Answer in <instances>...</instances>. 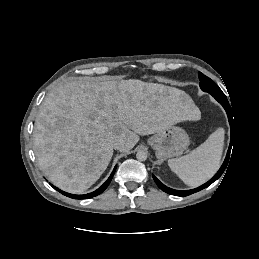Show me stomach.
<instances>
[{"label":"stomach","instance_id":"stomach-1","mask_svg":"<svg viewBox=\"0 0 259 259\" xmlns=\"http://www.w3.org/2000/svg\"><path fill=\"white\" fill-rule=\"evenodd\" d=\"M159 160L180 156L190 144L189 136L180 127L170 126L148 139Z\"/></svg>","mask_w":259,"mask_h":259}]
</instances>
